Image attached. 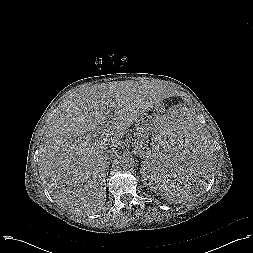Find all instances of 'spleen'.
Listing matches in <instances>:
<instances>
[{"mask_svg": "<svg viewBox=\"0 0 253 253\" xmlns=\"http://www.w3.org/2000/svg\"><path fill=\"white\" fill-rule=\"evenodd\" d=\"M214 144L188 112L167 113L147 148L142 173L146 182L169 201L192 199L211 178Z\"/></svg>", "mask_w": 253, "mask_h": 253, "instance_id": "3e777b00", "label": "spleen"}]
</instances>
